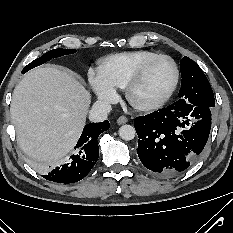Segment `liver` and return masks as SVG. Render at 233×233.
<instances>
[{"label":"liver","instance_id":"1","mask_svg":"<svg viewBox=\"0 0 233 233\" xmlns=\"http://www.w3.org/2000/svg\"><path fill=\"white\" fill-rule=\"evenodd\" d=\"M91 96L68 70L29 71L14 89L10 113L21 149L40 163L58 161L77 143Z\"/></svg>","mask_w":233,"mask_h":233}]
</instances>
